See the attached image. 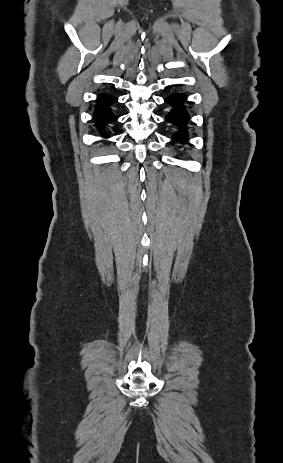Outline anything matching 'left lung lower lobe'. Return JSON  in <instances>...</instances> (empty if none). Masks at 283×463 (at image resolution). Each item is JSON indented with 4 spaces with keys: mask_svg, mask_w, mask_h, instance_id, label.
<instances>
[{
    "mask_svg": "<svg viewBox=\"0 0 283 463\" xmlns=\"http://www.w3.org/2000/svg\"><path fill=\"white\" fill-rule=\"evenodd\" d=\"M185 97L183 94H175L167 97L165 102L171 104L174 109L165 117L166 121L176 124L180 127L181 131L173 136L174 140L184 142L186 140V123L188 121V114L183 108Z\"/></svg>",
    "mask_w": 283,
    "mask_h": 463,
    "instance_id": "obj_1",
    "label": "left lung lower lobe"
}]
</instances>
